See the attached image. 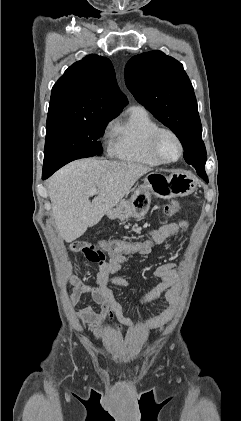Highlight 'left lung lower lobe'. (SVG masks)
<instances>
[{"instance_id": "obj_1", "label": "left lung lower lobe", "mask_w": 241, "mask_h": 421, "mask_svg": "<svg viewBox=\"0 0 241 421\" xmlns=\"http://www.w3.org/2000/svg\"><path fill=\"white\" fill-rule=\"evenodd\" d=\"M188 164H191L197 171L198 175L204 179L206 182H208L207 175L205 173V167H200L198 164H192L191 162H188Z\"/></svg>"}]
</instances>
